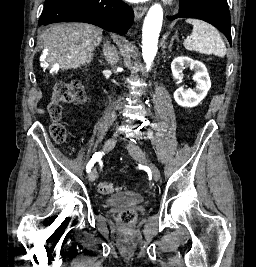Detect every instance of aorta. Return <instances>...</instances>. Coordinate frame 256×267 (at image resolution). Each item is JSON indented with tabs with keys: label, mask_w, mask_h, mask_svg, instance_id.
I'll return each instance as SVG.
<instances>
[{
	"label": "aorta",
	"mask_w": 256,
	"mask_h": 267,
	"mask_svg": "<svg viewBox=\"0 0 256 267\" xmlns=\"http://www.w3.org/2000/svg\"><path fill=\"white\" fill-rule=\"evenodd\" d=\"M163 24V8L161 4L151 6L142 28V56L146 68H151L158 52V40Z\"/></svg>",
	"instance_id": "762f6f07"
}]
</instances>
